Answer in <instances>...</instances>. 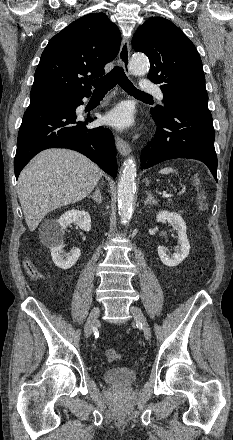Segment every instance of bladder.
Segmentation results:
<instances>
[{
    "label": "bladder",
    "instance_id": "31cf9c89",
    "mask_svg": "<svg viewBox=\"0 0 233 440\" xmlns=\"http://www.w3.org/2000/svg\"><path fill=\"white\" fill-rule=\"evenodd\" d=\"M103 379L115 387H128L137 377V372L129 367L111 368L103 372Z\"/></svg>",
    "mask_w": 233,
    "mask_h": 440
}]
</instances>
